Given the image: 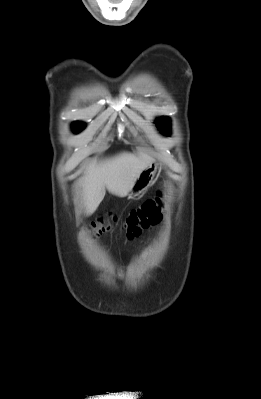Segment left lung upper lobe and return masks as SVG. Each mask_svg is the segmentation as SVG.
I'll list each match as a JSON object with an SVG mask.
<instances>
[{
	"label": "left lung upper lobe",
	"mask_w": 261,
	"mask_h": 399,
	"mask_svg": "<svg viewBox=\"0 0 261 399\" xmlns=\"http://www.w3.org/2000/svg\"><path fill=\"white\" fill-rule=\"evenodd\" d=\"M155 123L157 124L158 129L165 135H170V120L167 117L158 118Z\"/></svg>",
	"instance_id": "1"
}]
</instances>
